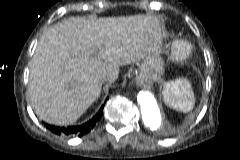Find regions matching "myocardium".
I'll list each match as a JSON object with an SVG mask.
<instances>
[{
  "label": "myocardium",
  "instance_id": "obj_1",
  "mask_svg": "<svg viewBox=\"0 0 240 160\" xmlns=\"http://www.w3.org/2000/svg\"><path fill=\"white\" fill-rule=\"evenodd\" d=\"M193 54V46L185 39L176 40L171 48V56L176 62H183Z\"/></svg>",
  "mask_w": 240,
  "mask_h": 160
}]
</instances>
